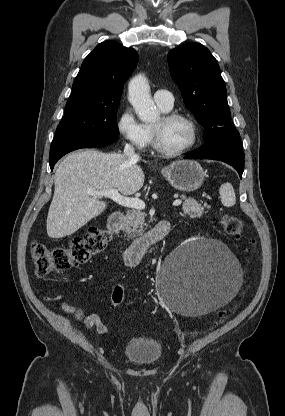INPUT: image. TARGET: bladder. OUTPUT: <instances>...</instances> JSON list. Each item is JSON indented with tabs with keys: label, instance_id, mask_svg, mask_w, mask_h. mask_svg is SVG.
<instances>
[{
	"label": "bladder",
	"instance_id": "31cf9c89",
	"mask_svg": "<svg viewBox=\"0 0 285 416\" xmlns=\"http://www.w3.org/2000/svg\"><path fill=\"white\" fill-rule=\"evenodd\" d=\"M163 354V347L157 339L136 336L124 347V355L131 358L133 363L156 362Z\"/></svg>",
	"mask_w": 285,
	"mask_h": 416
}]
</instances>
